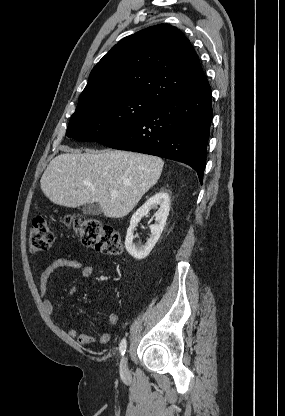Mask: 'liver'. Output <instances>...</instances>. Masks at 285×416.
I'll return each instance as SVG.
<instances>
[{
	"mask_svg": "<svg viewBox=\"0 0 285 416\" xmlns=\"http://www.w3.org/2000/svg\"><path fill=\"white\" fill-rule=\"evenodd\" d=\"M51 160L41 180L46 198L66 208L99 204L106 218H124L157 184L161 158L121 150H70ZM110 190H117L112 198Z\"/></svg>",
	"mask_w": 285,
	"mask_h": 416,
	"instance_id": "6515ba94",
	"label": "liver"
}]
</instances>
